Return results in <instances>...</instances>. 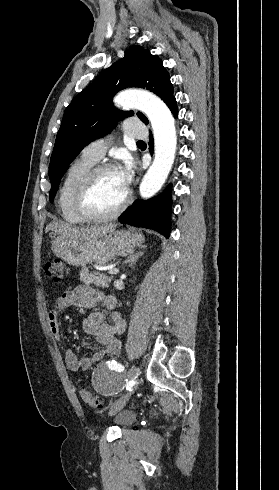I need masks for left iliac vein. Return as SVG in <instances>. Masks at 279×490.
I'll return each mask as SVG.
<instances>
[{"label":"left iliac vein","mask_w":279,"mask_h":490,"mask_svg":"<svg viewBox=\"0 0 279 490\" xmlns=\"http://www.w3.org/2000/svg\"><path fill=\"white\" fill-rule=\"evenodd\" d=\"M139 370L137 367L135 366H132L129 371H128V377L129 379L131 380H134V381H139ZM129 394H126L120 401L117 405H115L111 410H110V414H114L115 412H117L118 410H120L124 405H125V402L126 400H128L129 398Z\"/></svg>","instance_id":"left-iliac-vein-1"}]
</instances>
